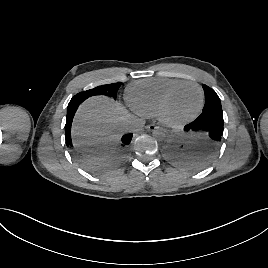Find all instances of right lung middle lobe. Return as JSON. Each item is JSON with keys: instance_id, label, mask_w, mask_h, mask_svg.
I'll use <instances>...</instances> for the list:
<instances>
[{"instance_id": "right-lung-middle-lobe-1", "label": "right lung middle lobe", "mask_w": 268, "mask_h": 268, "mask_svg": "<svg viewBox=\"0 0 268 268\" xmlns=\"http://www.w3.org/2000/svg\"><path fill=\"white\" fill-rule=\"evenodd\" d=\"M120 86H121V82L101 85L93 89H89L87 91L78 93L71 99V101L85 100L88 97L95 96V95H105V96H109V97L116 99L117 90L119 89Z\"/></svg>"}]
</instances>
